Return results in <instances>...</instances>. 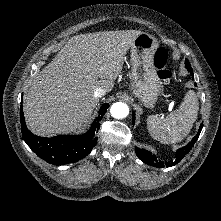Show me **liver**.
I'll return each mask as SVG.
<instances>
[{
    "mask_svg": "<svg viewBox=\"0 0 221 221\" xmlns=\"http://www.w3.org/2000/svg\"><path fill=\"white\" fill-rule=\"evenodd\" d=\"M138 30L102 31L70 38L34 78L24 97L29 129L39 136L80 128L98 104L97 88L110 92Z\"/></svg>",
    "mask_w": 221,
    "mask_h": 221,
    "instance_id": "obj_1",
    "label": "liver"
}]
</instances>
